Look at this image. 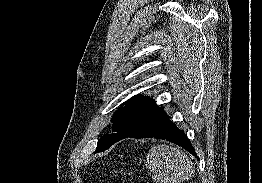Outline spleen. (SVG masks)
<instances>
[{
  "mask_svg": "<svg viewBox=\"0 0 262 183\" xmlns=\"http://www.w3.org/2000/svg\"><path fill=\"white\" fill-rule=\"evenodd\" d=\"M147 168L156 183H180L193 174L192 163L185 152L165 144L149 150Z\"/></svg>",
  "mask_w": 262,
  "mask_h": 183,
  "instance_id": "3e777b00",
  "label": "spleen"
}]
</instances>
